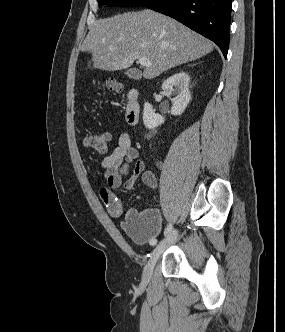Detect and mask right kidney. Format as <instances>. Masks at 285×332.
Here are the masks:
<instances>
[{
  "label": "right kidney",
  "instance_id": "1",
  "mask_svg": "<svg viewBox=\"0 0 285 332\" xmlns=\"http://www.w3.org/2000/svg\"><path fill=\"white\" fill-rule=\"evenodd\" d=\"M190 77L186 72H180L166 79L162 84V90L168 92L169 95L177 94L178 96L172 100V115H181L191 100L189 91ZM143 123L146 128L154 129L164 123V117L156 114L150 103L144 104Z\"/></svg>",
  "mask_w": 285,
  "mask_h": 332
}]
</instances>
